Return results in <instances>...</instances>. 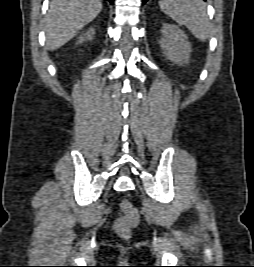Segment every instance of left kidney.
Here are the masks:
<instances>
[{
  "mask_svg": "<svg viewBox=\"0 0 254 267\" xmlns=\"http://www.w3.org/2000/svg\"><path fill=\"white\" fill-rule=\"evenodd\" d=\"M163 37L159 43L163 53L174 63H189L191 44L185 33L176 25L164 23L161 29Z\"/></svg>",
  "mask_w": 254,
  "mask_h": 267,
  "instance_id": "1",
  "label": "left kidney"
}]
</instances>
